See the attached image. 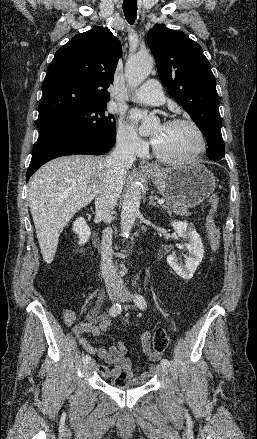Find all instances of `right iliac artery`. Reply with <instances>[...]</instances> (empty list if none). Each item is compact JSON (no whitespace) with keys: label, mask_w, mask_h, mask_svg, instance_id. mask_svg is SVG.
<instances>
[{"label":"right iliac artery","mask_w":257,"mask_h":439,"mask_svg":"<svg viewBox=\"0 0 257 439\" xmlns=\"http://www.w3.org/2000/svg\"><path fill=\"white\" fill-rule=\"evenodd\" d=\"M120 312H121V305L119 303L113 304L109 310V314L113 317L120 314ZM82 360L84 363H87L91 360V357H90V355L86 354L83 356Z\"/></svg>","instance_id":"right-iliac-artery-1"}]
</instances>
